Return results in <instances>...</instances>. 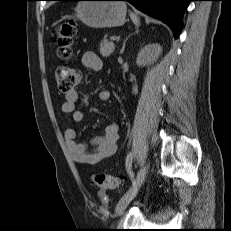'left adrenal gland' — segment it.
<instances>
[{
    "instance_id": "left-adrenal-gland-1",
    "label": "left adrenal gland",
    "mask_w": 231,
    "mask_h": 231,
    "mask_svg": "<svg viewBox=\"0 0 231 231\" xmlns=\"http://www.w3.org/2000/svg\"><path fill=\"white\" fill-rule=\"evenodd\" d=\"M136 33H138V30L136 31ZM129 37H130V35L124 40L122 49H121V51H120V54H122V53L124 52L125 45H126V41L128 40Z\"/></svg>"
}]
</instances>
